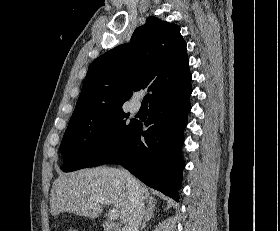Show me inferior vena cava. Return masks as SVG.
<instances>
[{
  "label": "inferior vena cava",
  "mask_w": 280,
  "mask_h": 231,
  "mask_svg": "<svg viewBox=\"0 0 280 231\" xmlns=\"http://www.w3.org/2000/svg\"><path fill=\"white\" fill-rule=\"evenodd\" d=\"M123 173L126 177L131 205L130 213L124 223L123 231H139L145 213L144 201L141 197L140 183L138 179H135L133 175H130L129 171H126V169H123Z\"/></svg>",
  "instance_id": "obj_1"
}]
</instances>
